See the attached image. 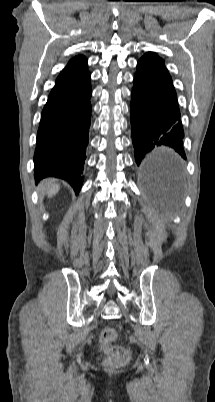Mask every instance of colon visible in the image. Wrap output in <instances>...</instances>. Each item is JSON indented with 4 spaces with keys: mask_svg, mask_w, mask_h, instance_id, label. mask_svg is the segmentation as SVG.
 I'll list each match as a JSON object with an SVG mask.
<instances>
[{
    "mask_svg": "<svg viewBox=\"0 0 215 402\" xmlns=\"http://www.w3.org/2000/svg\"><path fill=\"white\" fill-rule=\"evenodd\" d=\"M118 333L115 328H105L100 336L102 349L106 353V364L108 366H122L129 360V352L126 348L116 345Z\"/></svg>",
    "mask_w": 215,
    "mask_h": 402,
    "instance_id": "colon-1",
    "label": "colon"
}]
</instances>
